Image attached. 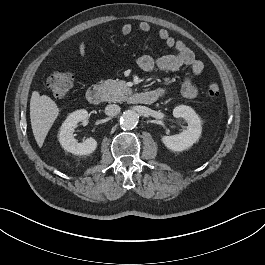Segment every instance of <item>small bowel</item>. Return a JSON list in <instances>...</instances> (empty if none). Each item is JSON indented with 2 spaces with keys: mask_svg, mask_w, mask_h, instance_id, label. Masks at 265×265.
<instances>
[{
  "mask_svg": "<svg viewBox=\"0 0 265 265\" xmlns=\"http://www.w3.org/2000/svg\"><path fill=\"white\" fill-rule=\"evenodd\" d=\"M139 29L143 33H149L151 31V26L147 22H141L139 24ZM132 32V25L126 23L121 28V34L127 36ZM159 38L164 41V43L175 50L173 54H167L158 58H153L149 55H142L137 59L138 67L145 72H152L155 69L173 72L177 71L182 67H188L190 75H187L181 84V92L187 98H194L198 95V88L193 83L192 76H199L204 72V63L197 59L194 52L181 40H176L173 38L166 29H160L158 31ZM79 52L81 56L85 57L86 44L85 42L79 43ZM71 53V52H70ZM153 92L158 93L161 97L167 93V88L160 86L156 88Z\"/></svg>",
  "mask_w": 265,
  "mask_h": 265,
  "instance_id": "small-bowel-1",
  "label": "small bowel"
}]
</instances>
